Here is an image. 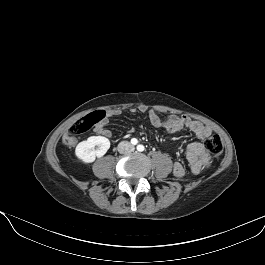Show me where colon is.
Returning <instances> with one entry per match:
<instances>
[{"instance_id": "colon-1", "label": "colon", "mask_w": 265, "mask_h": 265, "mask_svg": "<svg viewBox=\"0 0 265 265\" xmlns=\"http://www.w3.org/2000/svg\"><path fill=\"white\" fill-rule=\"evenodd\" d=\"M104 117L105 114L101 110L93 111L81 117L69 128L63 139L64 143L68 146H73L79 136L96 126ZM204 144L205 148L212 156L220 157L223 154V143L218 135L207 137Z\"/></svg>"}]
</instances>
